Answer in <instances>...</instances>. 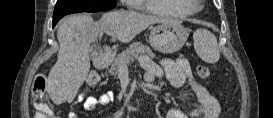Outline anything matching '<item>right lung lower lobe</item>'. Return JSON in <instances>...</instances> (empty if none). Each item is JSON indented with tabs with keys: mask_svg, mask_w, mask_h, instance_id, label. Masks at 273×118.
<instances>
[{
	"mask_svg": "<svg viewBox=\"0 0 273 118\" xmlns=\"http://www.w3.org/2000/svg\"><path fill=\"white\" fill-rule=\"evenodd\" d=\"M72 13H78L76 11H68V10H60V11H54L53 14V27L56 25V23L64 16Z\"/></svg>",
	"mask_w": 273,
	"mask_h": 118,
	"instance_id": "right-lung-lower-lobe-1",
	"label": "right lung lower lobe"
}]
</instances>
